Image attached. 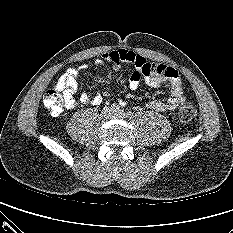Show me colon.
Here are the masks:
<instances>
[{
  "label": "colon",
  "mask_w": 233,
  "mask_h": 233,
  "mask_svg": "<svg viewBox=\"0 0 233 233\" xmlns=\"http://www.w3.org/2000/svg\"><path fill=\"white\" fill-rule=\"evenodd\" d=\"M43 104L51 114L59 115L63 111L65 105H67V101L61 94V91L55 87L49 89L45 93ZM177 114L182 122H189L195 117L196 110L189 102H183L179 106Z\"/></svg>",
  "instance_id": "obj_1"
}]
</instances>
